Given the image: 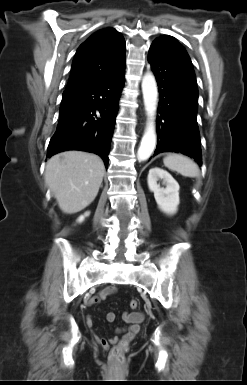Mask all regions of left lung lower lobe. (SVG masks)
Returning <instances> with one entry per match:
<instances>
[{"mask_svg":"<svg viewBox=\"0 0 247 385\" xmlns=\"http://www.w3.org/2000/svg\"><path fill=\"white\" fill-rule=\"evenodd\" d=\"M148 61L159 86L157 116L160 152H180L193 157L201 166V147L197 125L198 88L192 62L185 49L171 36L157 38Z\"/></svg>","mask_w":247,"mask_h":385,"instance_id":"0a47b994","label":"left lung lower lobe"}]
</instances>
